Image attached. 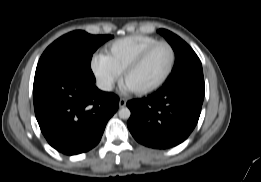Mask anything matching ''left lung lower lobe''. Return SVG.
Masks as SVG:
<instances>
[{
  "label": "left lung lower lobe",
  "instance_id": "obj_1",
  "mask_svg": "<svg viewBox=\"0 0 261 182\" xmlns=\"http://www.w3.org/2000/svg\"><path fill=\"white\" fill-rule=\"evenodd\" d=\"M204 78H194L148 97L131 100L127 126L141 144L167 149L183 142L196 126L204 99Z\"/></svg>",
  "mask_w": 261,
  "mask_h": 182
}]
</instances>
